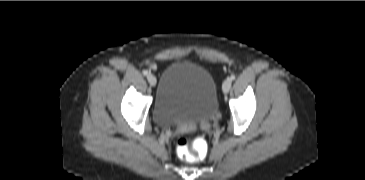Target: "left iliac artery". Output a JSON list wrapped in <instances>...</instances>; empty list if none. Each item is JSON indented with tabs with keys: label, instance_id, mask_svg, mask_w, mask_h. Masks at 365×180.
<instances>
[{
	"label": "left iliac artery",
	"instance_id": "obj_1",
	"mask_svg": "<svg viewBox=\"0 0 365 180\" xmlns=\"http://www.w3.org/2000/svg\"><path fill=\"white\" fill-rule=\"evenodd\" d=\"M236 78V76L234 74L231 75L230 79L234 80Z\"/></svg>",
	"mask_w": 365,
	"mask_h": 180
}]
</instances>
